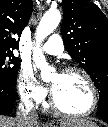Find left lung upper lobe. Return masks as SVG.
Returning a JSON list of instances; mask_svg holds the SVG:
<instances>
[{"mask_svg": "<svg viewBox=\"0 0 108 127\" xmlns=\"http://www.w3.org/2000/svg\"><path fill=\"white\" fill-rule=\"evenodd\" d=\"M62 8L65 48L100 91L98 107L108 109V19L89 0H62Z\"/></svg>", "mask_w": 108, "mask_h": 127, "instance_id": "left-lung-upper-lobe-1", "label": "left lung upper lobe"}]
</instances>
